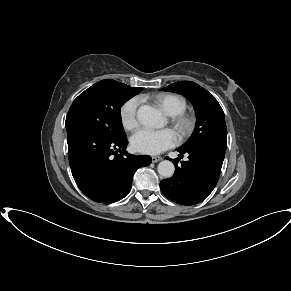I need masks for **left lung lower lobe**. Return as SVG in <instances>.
Returning <instances> with one entry per match:
<instances>
[{"instance_id": "obj_1", "label": "left lung lower lobe", "mask_w": 291, "mask_h": 291, "mask_svg": "<svg viewBox=\"0 0 291 291\" xmlns=\"http://www.w3.org/2000/svg\"><path fill=\"white\" fill-rule=\"evenodd\" d=\"M187 153L188 161L173 159L175 173L171 178L160 182L162 193L181 205H195L203 201L214 189L221 172L226 147L219 145H196L178 148Z\"/></svg>"}]
</instances>
